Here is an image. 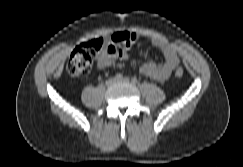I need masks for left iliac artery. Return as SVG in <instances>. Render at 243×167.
Listing matches in <instances>:
<instances>
[{"instance_id": "left-iliac-artery-1", "label": "left iliac artery", "mask_w": 243, "mask_h": 167, "mask_svg": "<svg viewBox=\"0 0 243 167\" xmlns=\"http://www.w3.org/2000/svg\"><path fill=\"white\" fill-rule=\"evenodd\" d=\"M131 81H132V83H134V84H136V83L138 82V80H137L136 77H133Z\"/></svg>"}]
</instances>
